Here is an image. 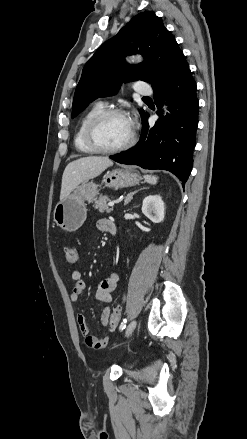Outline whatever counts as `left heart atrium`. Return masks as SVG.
I'll return each mask as SVG.
<instances>
[{
	"mask_svg": "<svg viewBox=\"0 0 247 439\" xmlns=\"http://www.w3.org/2000/svg\"><path fill=\"white\" fill-rule=\"evenodd\" d=\"M129 124L131 126V128L133 127V121L129 119Z\"/></svg>",
	"mask_w": 247,
	"mask_h": 439,
	"instance_id": "obj_1",
	"label": "left heart atrium"
}]
</instances>
